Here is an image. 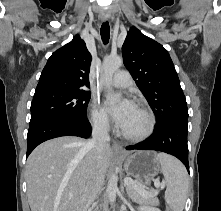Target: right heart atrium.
I'll use <instances>...</instances> for the list:
<instances>
[{
    "mask_svg": "<svg viewBox=\"0 0 221 211\" xmlns=\"http://www.w3.org/2000/svg\"><path fill=\"white\" fill-rule=\"evenodd\" d=\"M91 123L99 131L106 132L110 128L109 118L106 112L99 106L96 101L91 104L90 110Z\"/></svg>",
    "mask_w": 221,
    "mask_h": 211,
    "instance_id": "obj_1",
    "label": "right heart atrium"
}]
</instances>
